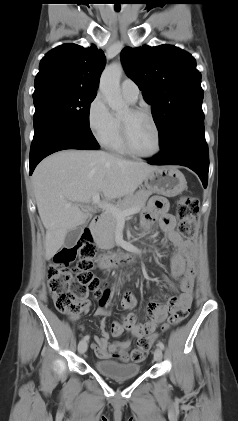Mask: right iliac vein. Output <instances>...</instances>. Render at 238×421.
Returning <instances> with one entry per match:
<instances>
[{"label": "right iliac vein", "mask_w": 238, "mask_h": 421, "mask_svg": "<svg viewBox=\"0 0 238 421\" xmlns=\"http://www.w3.org/2000/svg\"><path fill=\"white\" fill-rule=\"evenodd\" d=\"M88 343L87 340H81L78 344V352L84 354L87 351Z\"/></svg>", "instance_id": "1"}]
</instances>
